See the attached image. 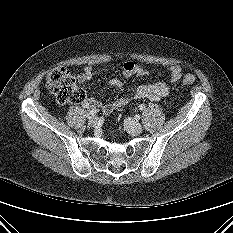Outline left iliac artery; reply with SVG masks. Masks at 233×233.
I'll use <instances>...</instances> for the list:
<instances>
[{
    "label": "left iliac artery",
    "instance_id": "44dca946",
    "mask_svg": "<svg viewBox=\"0 0 233 233\" xmlns=\"http://www.w3.org/2000/svg\"><path fill=\"white\" fill-rule=\"evenodd\" d=\"M144 109H145V105H144V104H140V105H139V110L142 111V110H144Z\"/></svg>",
    "mask_w": 233,
    "mask_h": 233
}]
</instances>
